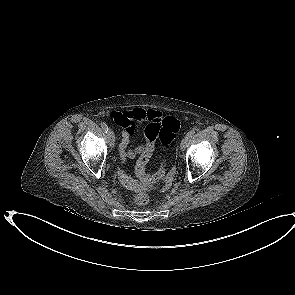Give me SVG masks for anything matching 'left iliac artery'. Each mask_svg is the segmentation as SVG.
Returning <instances> with one entry per match:
<instances>
[{
  "mask_svg": "<svg viewBox=\"0 0 295 295\" xmlns=\"http://www.w3.org/2000/svg\"><path fill=\"white\" fill-rule=\"evenodd\" d=\"M194 134H195V131H194V130H191V131H189V132L187 133V136H188L189 138H192V137L194 136Z\"/></svg>",
  "mask_w": 295,
  "mask_h": 295,
  "instance_id": "left-iliac-artery-1",
  "label": "left iliac artery"
}]
</instances>
